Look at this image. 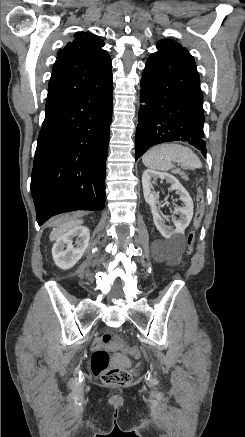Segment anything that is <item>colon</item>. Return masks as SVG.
Segmentation results:
<instances>
[{
    "label": "colon",
    "mask_w": 245,
    "mask_h": 437,
    "mask_svg": "<svg viewBox=\"0 0 245 437\" xmlns=\"http://www.w3.org/2000/svg\"><path fill=\"white\" fill-rule=\"evenodd\" d=\"M205 213V198L200 191L197 197V209L194 216V228L198 229ZM195 238V231L189 234L188 252L191 253L192 245ZM114 337L112 334L107 333L102 337L94 340L92 344L93 355L91 368L95 375L99 376L103 383L110 386H124L131 381V374L126 369L111 368L110 367V355L107 351L113 343ZM121 348L126 351L132 358L138 359L141 356V349L138 346H126L122 345Z\"/></svg>",
    "instance_id": "colon-1"
}]
</instances>
